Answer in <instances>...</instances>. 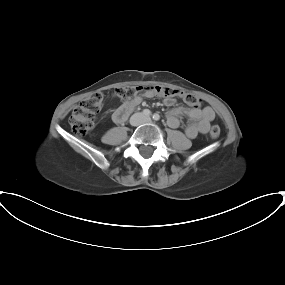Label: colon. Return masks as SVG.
<instances>
[{
    "instance_id": "5ec220e1",
    "label": "colon",
    "mask_w": 285,
    "mask_h": 285,
    "mask_svg": "<svg viewBox=\"0 0 285 285\" xmlns=\"http://www.w3.org/2000/svg\"><path fill=\"white\" fill-rule=\"evenodd\" d=\"M139 93L161 94L166 97H179L187 105L193 108H200L201 100L193 93L183 91L178 88L164 86H123L113 91V95L123 101L130 100ZM103 105V94L95 92L81 101L72 111L69 122L76 134H86L94 125L97 113ZM221 129L218 125H213L210 129V136L218 138Z\"/></svg>"
}]
</instances>
